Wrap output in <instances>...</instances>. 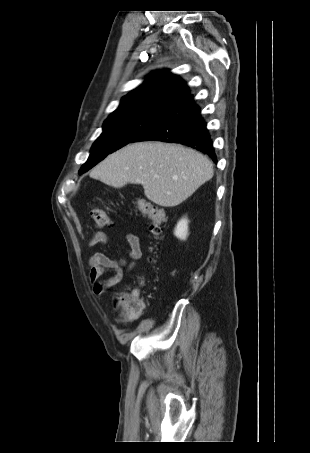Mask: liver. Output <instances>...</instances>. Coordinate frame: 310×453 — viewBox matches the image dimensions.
I'll list each match as a JSON object with an SVG mask.
<instances>
[{
  "mask_svg": "<svg viewBox=\"0 0 310 453\" xmlns=\"http://www.w3.org/2000/svg\"><path fill=\"white\" fill-rule=\"evenodd\" d=\"M213 174L212 162L193 149L162 142H137L110 154L92 169L90 177L114 188L141 184L150 201L174 207Z\"/></svg>",
  "mask_w": 310,
  "mask_h": 453,
  "instance_id": "obj_1",
  "label": "liver"
}]
</instances>
